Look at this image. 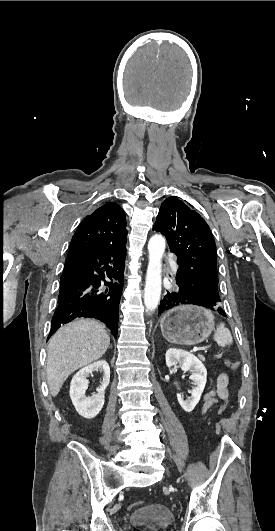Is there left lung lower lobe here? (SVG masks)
I'll use <instances>...</instances> for the list:
<instances>
[{"label": "left lung lower lobe", "instance_id": "obj_1", "mask_svg": "<svg viewBox=\"0 0 275 531\" xmlns=\"http://www.w3.org/2000/svg\"><path fill=\"white\" fill-rule=\"evenodd\" d=\"M181 304H194L197 305L189 300H187L177 289L172 292H167L165 297L161 300L159 305V314L166 312L167 310L181 305ZM218 312L226 317L225 312L219 308Z\"/></svg>", "mask_w": 275, "mask_h": 531}]
</instances>
